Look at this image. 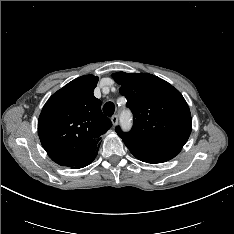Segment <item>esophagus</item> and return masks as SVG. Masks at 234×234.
<instances>
[{
	"mask_svg": "<svg viewBox=\"0 0 234 234\" xmlns=\"http://www.w3.org/2000/svg\"><path fill=\"white\" fill-rule=\"evenodd\" d=\"M111 122H112V125H113V126H116L117 123H118V116H117V115H114V116L111 118Z\"/></svg>",
	"mask_w": 234,
	"mask_h": 234,
	"instance_id": "34e87169",
	"label": "esophagus"
}]
</instances>
